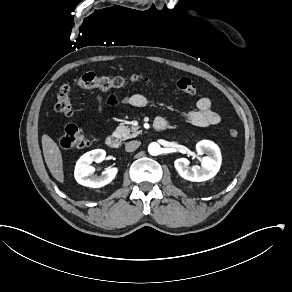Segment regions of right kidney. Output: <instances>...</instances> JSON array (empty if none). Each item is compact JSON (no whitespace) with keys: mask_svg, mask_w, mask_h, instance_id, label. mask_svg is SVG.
<instances>
[{"mask_svg":"<svg viewBox=\"0 0 292 292\" xmlns=\"http://www.w3.org/2000/svg\"><path fill=\"white\" fill-rule=\"evenodd\" d=\"M106 157V151L95 149L85 153L78 161L75 167V179L83 186L90 188H101L111 183L118 173L117 167L107 169L101 176L93 175L95 168L90 167V163L95 161L101 163Z\"/></svg>","mask_w":292,"mask_h":292,"instance_id":"ca27d5eb","label":"right kidney"}]
</instances>
